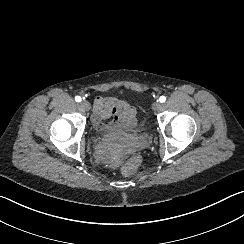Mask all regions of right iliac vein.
I'll return each instance as SVG.
<instances>
[{"label": "right iliac vein", "instance_id": "right-iliac-vein-1", "mask_svg": "<svg viewBox=\"0 0 244 244\" xmlns=\"http://www.w3.org/2000/svg\"><path fill=\"white\" fill-rule=\"evenodd\" d=\"M80 107L83 110H90L91 105L89 104L88 101H82V102H80Z\"/></svg>", "mask_w": 244, "mask_h": 244}]
</instances>
